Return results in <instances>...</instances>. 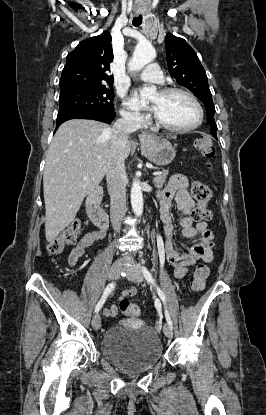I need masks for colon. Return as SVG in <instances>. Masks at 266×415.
Masks as SVG:
<instances>
[{"instance_id": "colon-1", "label": "colon", "mask_w": 266, "mask_h": 415, "mask_svg": "<svg viewBox=\"0 0 266 415\" xmlns=\"http://www.w3.org/2000/svg\"><path fill=\"white\" fill-rule=\"evenodd\" d=\"M195 149L204 157L211 158L215 149L213 141L210 137H201L196 140ZM192 196L197 202L196 208L192 212V216L196 221H209L212 217L211 211L207 208V204L211 198V190L207 184L196 181L192 186ZM82 224L79 219L73 220L55 239H53L47 247L49 254L58 255L66 246L76 243L80 233ZM209 275V269L205 265H199L192 276L191 290L200 292L205 286L206 279ZM120 309L123 314L130 317H136L140 314L139 306L127 299L120 301Z\"/></svg>"}]
</instances>
